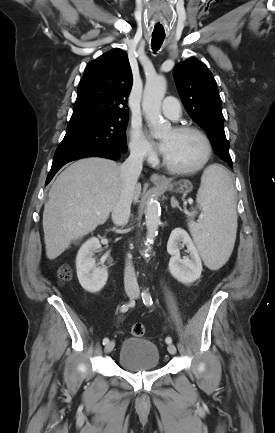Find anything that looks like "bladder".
Instances as JSON below:
<instances>
[{"instance_id": "obj_1", "label": "bladder", "mask_w": 275, "mask_h": 433, "mask_svg": "<svg viewBox=\"0 0 275 433\" xmlns=\"http://www.w3.org/2000/svg\"><path fill=\"white\" fill-rule=\"evenodd\" d=\"M118 362L133 373L153 370L160 366L159 349L147 339L130 337L120 346Z\"/></svg>"}]
</instances>
